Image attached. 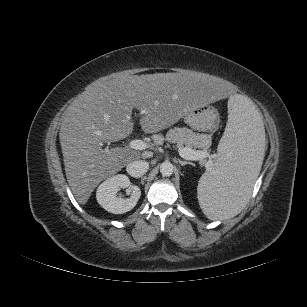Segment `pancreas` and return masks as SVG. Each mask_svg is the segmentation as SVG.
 Instances as JSON below:
<instances>
[{
    "label": "pancreas",
    "instance_id": "pancreas-1",
    "mask_svg": "<svg viewBox=\"0 0 307 307\" xmlns=\"http://www.w3.org/2000/svg\"><path fill=\"white\" fill-rule=\"evenodd\" d=\"M154 139L157 143L166 140L179 146L185 145L187 148H195L202 151H206L210 143L206 135L195 133L185 127H175L166 133L165 138L162 135H156Z\"/></svg>",
    "mask_w": 307,
    "mask_h": 307
}]
</instances>
